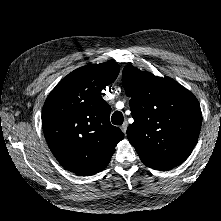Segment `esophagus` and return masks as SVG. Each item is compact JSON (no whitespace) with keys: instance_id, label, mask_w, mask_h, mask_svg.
Returning <instances> with one entry per match:
<instances>
[{"instance_id":"1","label":"esophagus","mask_w":221,"mask_h":221,"mask_svg":"<svg viewBox=\"0 0 221 221\" xmlns=\"http://www.w3.org/2000/svg\"><path fill=\"white\" fill-rule=\"evenodd\" d=\"M127 127H128V123L127 122H124L122 125H121V130L123 131V133H126V130H127Z\"/></svg>"}]
</instances>
